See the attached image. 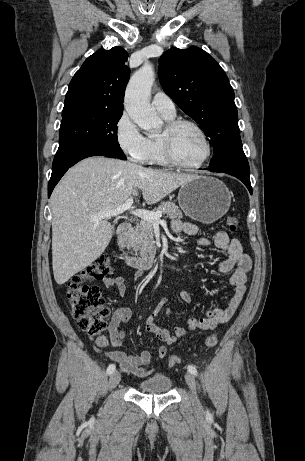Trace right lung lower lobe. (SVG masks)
Returning a JSON list of instances; mask_svg holds the SVG:
<instances>
[{
  "label": "right lung lower lobe",
  "mask_w": 305,
  "mask_h": 461,
  "mask_svg": "<svg viewBox=\"0 0 305 461\" xmlns=\"http://www.w3.org/2000/svg\"><path fill=\"white\" fill-rule=\"evenodd\" d=\"M91 156H105L118 158L113 153L102 148H81L56 154L52 165V174L48 184V197H50L55 185L59 182L65 172L78 161ZM120 159V158H119Z\"/></svg>",
  "instance_id": "1"
}]
</instances>
